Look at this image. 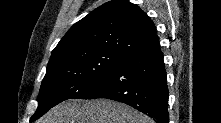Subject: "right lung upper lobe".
Wrapping results in <instances>:
<instances>
[{
	"mask_svg": "<svg viewBox=\"0 0 221 123\" xmlns=\"http://www.w3.org/2000/svg\"><path fill=\"white\" fill-rule=\"evenodd\" d=\"M157 47L159 38L146 13L128 1L113 0L75 23L52 51L50 60L95 48L129 55Z\"/></svg>",
	"mask_w": 221,
	"mask_h": 123,
	"instance_id": "right-lung-upper-lobe-1",
	"label": "right lung upper lobe"
}]
</instances>
